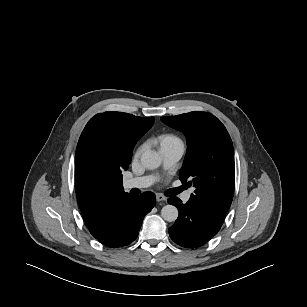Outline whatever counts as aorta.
I'll use <instances>...</instances> for the list:
<instances>
[{
    "label": "aorta",
    "mask_w": 307,
    "mask_h": 307,
    "mask_svg": "<svg viewBox=\"0 0 307 307\" xmlns=\"http://www.w3.org/2000/svg\"><path fill=\"white\" fill-rule=\"evenodd\" d=\"M161 157L156 151L146 150L141 155V164L146 169H156L161 165ZM178 209L173 205H166L161 210V216L165 221L174 222L178 218Z\"/></svg>",
    "instance_id": "obj_1"
}]
</instances>
